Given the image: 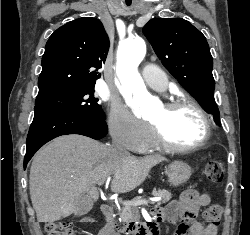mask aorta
Instances as JSON below:
<instances>
[{
    "instance_id": "762f6f07",
    "label": "aorta",
    "mask_w": 250,
    "mask_h": 235,
    "mask_svg": "<svg viewBox=\"0 0 250 235\" xmlns=\"http://www.w3.org/2000/svg\"><path fill=\"white\" fill-rule=\"evenodd\" d=\"M120 54L122 60L117 73L122 81V94L128 102H138L144 113L150 114L154 100L147 92L142 77L137 71V66L145 57L146 44L142 39L127 42L120 49Z\"/></svg>"
}]
</instances>
